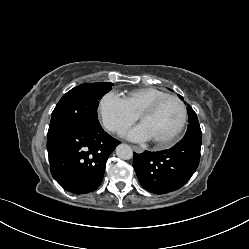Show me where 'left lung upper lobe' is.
<instances>
[{"mask_svg": "<svg viewBox=\"0 0 249 249\" xmlns=\"http://www.w3.org/2000/svg\"><path fill=\"white\" fill-rule=\"evenodd\" d=\"M179 98L183 100V97L180 95H179ZM187 111H188L189 124H188V129H187V132L184 138H189V137L201 138L202 133H201L197 115L189 104H187Z\"/></svg>", "mask_w": 249, "mask_h": 249, "instance_id": "5c2ea615", "label": "left lung upper lobe"}]
</instances>
